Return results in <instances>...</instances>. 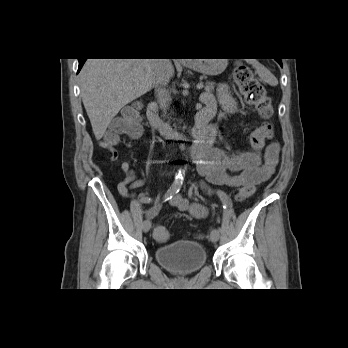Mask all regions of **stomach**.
I'll list each match as a JSON object with an SVG mask.
<instances>
[{
    "label": "stomach",
    "instance_id": "1",
    "mask_svg": "<svg viewBox=\"0 0 348 348\" xmlns=\"http://www.w3.org/2000/svg\"><path fill=\"white\" fill-rule=\"evenodd\" d=\"M227 66V59H195L189 67L203 75L220 74Z\"/></svg>",
    "mask_w": 348,
    "mask_h": 348
}]
</instances>
